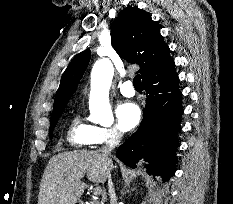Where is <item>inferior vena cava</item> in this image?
I'll list each match as a JSON object with an SVG mask.
<instances>
[{"mask_svg": "<svg viewBox=\"0 0 233 204\" xmlns=\"http://www.w3.org/2000/svg\"><path fill=\"white\" fill-rule=\"evenodd\" d=\"M122 134L120 132H115L113 136L106 142V145L99 149V152L104 156L108 157L111 151L119 144ZM108 178V188L110 194V204H116V196L113 187V182L111 179L110 172L107 173Z\"/></svg>", "mask_w": 233, "mask_h": 204, "instance_id": "1", "label": "inferior vena cava"}]
</instances>
